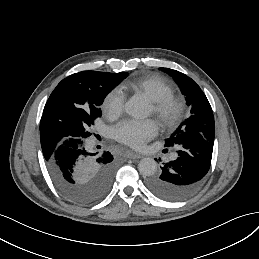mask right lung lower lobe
<instances>
[{
	"instance_id": "1",
	"label": "right lung lower lobe",
	"mask_w": 259,
	"mask_h": 259,
	"mask_svg": "<svg viewBox=\"0 0 259 259\" xmlns=\"http://www.w3.org/2000/svg\"><path fill=\"white\" fill-rule=\"evenodd\" d=\"M49 175L57 189L70 201L89 205L101 200L109 191L115 163L110 152L91 153L78 143H61L46 160Z\"/></svg>"
}]
</instances>
